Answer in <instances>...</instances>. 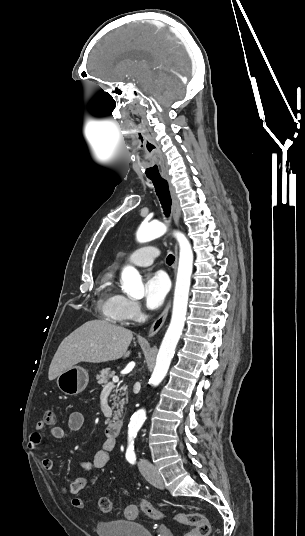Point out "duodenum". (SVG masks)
Here are the masks:
<instances>
[{
	"label": "duodenum",
	"instance_id": "410a0bca",
	"mask_svg": "<svg viewBox=\"0 0 305 536\" xmlns=\"http://www.w3.org/2000/svg\"><path fill=\"white\" fill-rule=\"evenodd\" d=\"M123 427L124 425L121 420H115L112 421L110 424L106 425L105 433L109 439H112L121 435Z\"/></svg>",
	"mask_w": 305,
	"mask_h": 536
}]
</instances>
